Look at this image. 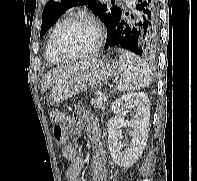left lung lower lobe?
Instances as JSON below:
<instances>
[{"mask_svg": "<svg viewBox=\"0 0 197 181\" xmlns=\"http://www.w3.org/2000/svg\"><path fill=\"white\" fill-rule=\"evenodd\" d=\"M134 5L136 13L131 15L132 23H127L121 15L109 24L105 47L153 57L159 40L158 0H135Z\"/></svg>", "mask_w": 197, "mask_h": 181, "instance_id": "1", "label": "left lung lower lobe"}]
</instances>
